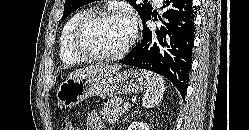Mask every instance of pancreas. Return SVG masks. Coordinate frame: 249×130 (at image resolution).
<instances>
[{"label": "pancreas", "mask_w": 249, "mask_h": 130, "mask_svg": "<svg viewBox=\"0 0 249 130\" xmlns=\"http://www.w3.org/2000/svg\"><path fill=\"white\" fill-rule=\"evenodd\" d=\"M122 103V98L108 99L104 103L100 113L102 114L105 122H108L109 124H114L119 119V117L123 113H125V110L121 107Z\"/></svg>", "instance_id": "pancreas-1"}]
</instances>
